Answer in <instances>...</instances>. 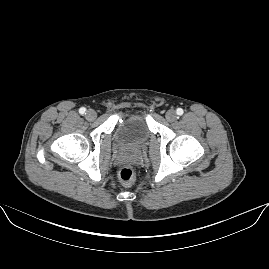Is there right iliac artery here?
<instances>
[{"label":"right iliac artery","mask_w":269,"mask_h":269,"mask_svg":"<svg viewBox=\"0 0 269 269\" xmlns=\"http://www.w3.org/2000/svg\"><path fill=\"white\" fill-rule=\"evenodd\" d=\"M85 112H86V109L84 107L79 109L80 114L84 115V114H86Z\"/></svg>","instance_id":"82829eb1"}]
</instances>
